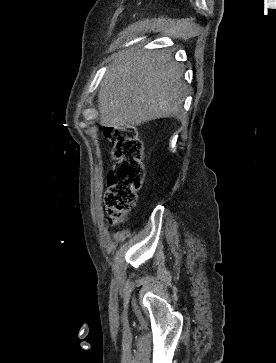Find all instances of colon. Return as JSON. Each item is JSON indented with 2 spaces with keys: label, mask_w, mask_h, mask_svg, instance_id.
<instances>
[{
  "label": "colon",
  "mask_w": 276,
  "mask_h": 363,
  "mask_svg": "<svg viewBox=\"0 0 276 363\" xmlns=\"http://www.w3.org/2000/svg\"><path fill=\"white\" fill-rule=\"evenodd\" d=\"M106 137L113 143L115 163L107 174L105 205L109 225L120 224L134 208L144 177L142 142L134 127H107Z\"/></svg>",
  "instance_id": "obj_1"
}]
</instances>
